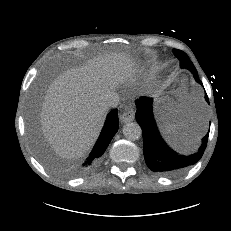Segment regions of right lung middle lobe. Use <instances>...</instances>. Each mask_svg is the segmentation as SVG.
<instances>
[{"label":"right lung middle lobe","mask_w":231,"mask_h":231,"mask_svg":"<svg viewBox=\"0 0 231 231\" xmlns=\"http://www.w3.org/2000/svg\"><path fill=\"white\" fill-rule=\"evenodd\" d=\"M32 133L35 139V143H37V146H38L39 145L38 133L35 130H32Z\"/></svg>","instance_id":"1"}]
</instances>
